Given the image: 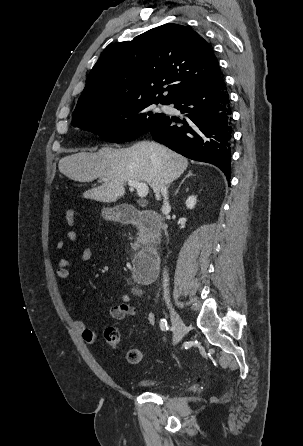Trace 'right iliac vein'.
<instances>
[{"label": "right iliac vein", "mask_w": 303, "mask_h": 446, "mask_svg": "<svg viewBox=\"0 0 303 446\" xmlns=\"http://www.w3.org/2000/svg\"><path fill=\"white\" fill-rule=\"evenodd\" d=\"M168 309L174 331L173 344H178L185 334L186 326L172 305L169 304Z\"/></svg>", "instance_id": "right-iliac-vein-1"}]
</instances>
